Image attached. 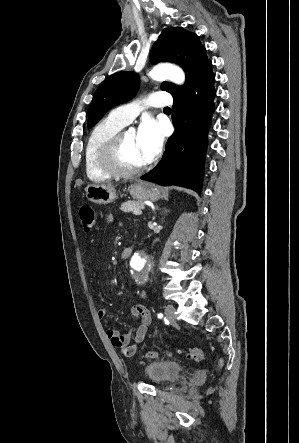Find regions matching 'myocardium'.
<instances>
[{"mask_svg": "<svg viewBox=\"0 0 299 443\" xmlns=\"http://www.w3.org/2000/svg\"><path fill=\"white\" fill-rule=\"evenodd\" d=\"M127 131H119L102 148L100 162L103 169L112 176L131 177L147 169L148 163L136 168H128L120 161L123 141Z\"/></svg>", "mask_w": 299, "mask_h": 443, "instance_id": "1", "label": "myocardium"}]
</instances>
